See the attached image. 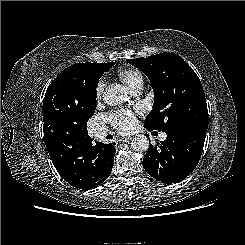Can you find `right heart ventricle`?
Returning <instances> with one entry per match:
<instances>
[{"mask_svg": "<svg viewBox=\"0 0 245 245\" xmlns=\"http://www.w3.org/2000/svg\"><path fill=\"white\" fill-rule=\"evenodd\" d=\"M118 76L131 91L143 85V75L135 68L121 70Z\"/></svg>", "mask_w": 245, "mask_h": 245, "instance_id": "1", "label": "right heart ventricle"}]
</instances>
